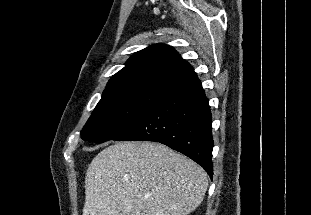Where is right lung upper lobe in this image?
I'll list each match as a JSON object with an SVG mask.
<instances>
[{"mask_svg": "<svg viewBox=\"0 0 311 215\" xmlns=\"http://www.w3.org/2000/svg\"><path fill=\"white\" fill-rule=\"evenodd\" d=\"M193 70L171 46L155 44L135 53L125 67L111 77L106 89L130 84L170 85Z\"/></svg>", "mask_w": 311, "mask_h": 215, "instance_id": "cb5924a9", "label": "right lung upper lobe"}]
</instances>
